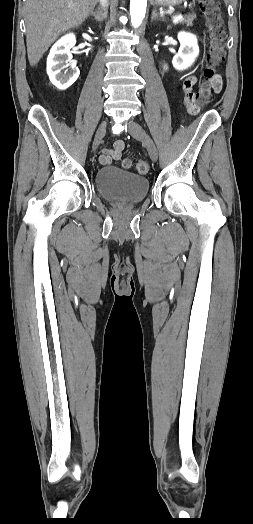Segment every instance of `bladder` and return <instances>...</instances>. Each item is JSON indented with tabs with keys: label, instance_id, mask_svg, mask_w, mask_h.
Wrapping results in <instances>:
<instances>
[{
	"label": "bladder",
	"instance_id": "bladder-1",
	"mask_svg": "<svg viewBox=\"0 0 253 524\" xmlns=\"http://www.w3.org/2000/svg\"><path fill=\"white\" fill-rule=\"evenodd\" d=\"M95 184L100 196L114 204H137L149 191V181L145 176L113 166L99 169Z\"/></svg>",
	"mask_w": 253,
	"mask_h": 524
}]
</instances>
